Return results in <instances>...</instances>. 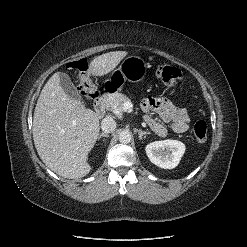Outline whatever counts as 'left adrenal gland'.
Wrapping results in <instances>:
<instances>
[{
	"instance_id": "a2214340",
	"label": "left adrenal gland",
	"mask_w": 247,
	"mask_h": 247,
	"mask_svg": "<svg viewBox=\"0 0 247 247\" xmlns=\"http://www.w3.org/2000/svg\"><path fill=\"white\" fill-rule=\"evenodd\" d=\"M138 132V135H139V139L142 140L143 139V136H146L147 134H150L149 132H145V131H142V130H137Z\"/></svg>"
}]
</instances>
